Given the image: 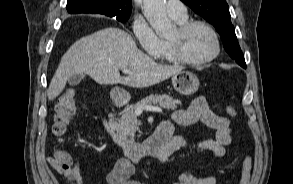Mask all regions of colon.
Returning a JSON list of instances; mask_svg holds the SVG:
<instances>
[{
  "label": "colon",
  "mask_w": 293,
  "mask_h": 184,
  "mask_svg": "<svg viewBox=\"0 0 293 184\" xmlns=\"http://www.w3.org/2000/svg\"><path fill=\"white\" fill-rule=\"evenodd\" d=\"M225 110L229 116H237V110L233 106L228 105L226 106ZM75 111L76 106L73 94L70 91H67L59 99L58 103L55 106L53 132L56 135L61 136L66 132L73 116L75 115ZM51 161L62 164L69 161V157L64 151H57L51 158ZM251 170L252 159L250 157H246L242 163V172L238 184H249Z\"/></svg>",
  "instance_id": "colon-1"
}]
</instances>
